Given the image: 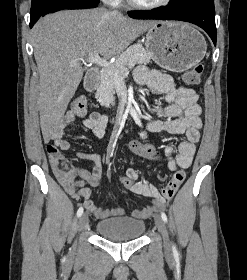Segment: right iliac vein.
<instances>
[{"instance_id":"1","label":"right iliac vein","mask_w":247,"mask_h":280,"mask_svg":"<svg viewBox=\"0 0 247 280\" xmlns=\"http://www.w3.org/2000/svg\"><path fill=\"white\" fill-rule=\"evenodd\" d=\"M88 225V215L86 213H84L83 215H81L79 222H78V229L79 230H83L84 228H86Z\"/></svg>"}]
</instances>
